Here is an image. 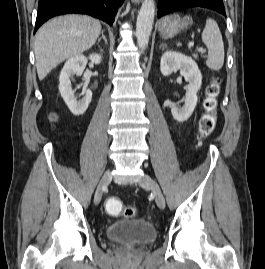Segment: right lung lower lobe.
Wrapping results in <instances>:
<instances>
[{
    "label": "right lung lower lobe",
    "instance_id": "right-lung-lower-lobe-1",
    "mask_svg": "<svg viewBox=\"0 0 265 269\" xmlns=\"http://www.w3.org/2000/svg\"><path fill=\"white\" fill-rule=\"evenodd\" d=\"M124 0H39L34 32L51 17L67 14H88L108 24L115 20L117 8Z\"/></svg>",
    "mask_w": 265,
    "mask_h": 269
}]
</instances>
